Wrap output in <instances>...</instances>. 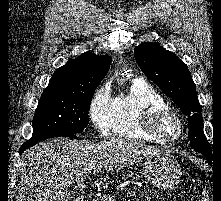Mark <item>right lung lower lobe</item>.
<instances>
[{"mask_svg": "<svg viewBox=\"0 0 221 201\" xmlns=\"http://www.w3.org/2000/svg\"><path fill=\"white\" fill-rule=\"evenodd\" d=\"M70 137V138H76V134L74 133H46V134H42V135H39L37 137H32L31 139H29L28 141H26L21 147H20V150H19V153L20 155L22 154V152L24 150H26L27 148L35 145L36 143L42 141V140H45V139H48V138H53V137Z\"/></svg>", "mask_w": 221, "mask_h": 201, "instance_id": "right-lung-lower-lobe-1", "label": "right lung lower lobe"}]
</instances>
